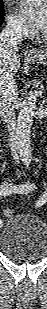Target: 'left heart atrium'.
I'll use <instances>...</instances> for the list:
<instances>
[{
    "label": "left heart atrium",
    "instance_id": "39dd6f15",
    "mask_svg": "<svg viewBox=\"0 0 47 309\" xmlns=\"http://www.w3.org/2000/svg\"><path fill=\"white\" fill-rule=\"evenodd\" d=\"M19 11L33 27L37 29L45 27L47 10L43 0H23L19 5Z\"/></svg>",
    "mask_w": 47,
    "mask_h": 309
}]
</instances>
